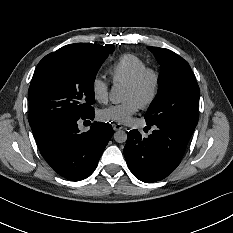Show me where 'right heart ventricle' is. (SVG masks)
I'll return each instance as SVG.
<instances>
[{"mask_svg":"<svg viewBox=\"0 0 233 233\" xmlns=\"http://www.w3.org/2000/svg\"><path fill=\"white\" fill-rule=\"evenodd\" d=\"M144 67V59L133 53H125L113 63L109 74L114 83L126 84Z\"/></svg>","mask_w":233,"mask_h":233,"instance_id":"e07e8e85","label":"right heart ventricle"}]
</instances>
